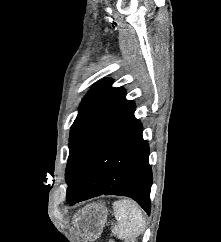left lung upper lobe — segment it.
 Returning a JSON list of instances; mask_svg holds the SVG:
<instances>
[{
	"label": "left lung upper lobe",
	"instance_id": "5c2ea615",
	"mask_svg": "<svg viewBox=\"0 0 221 242\" xmlns=\"http://www.w3.org/2000/svg\"><path fill=\"white\" fill-rule=\"evenodd\" d=\"M112 80L98 82L83 98L72 125L66 182L69 184L94 145L134 108L125 89L111 87Z\"/></svg>",
	"mask_w": 221,
	"mask_h": 242
}]
</instances>
